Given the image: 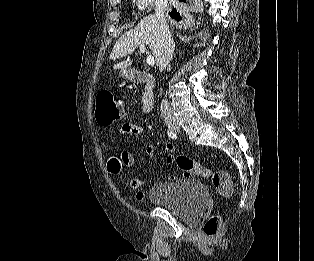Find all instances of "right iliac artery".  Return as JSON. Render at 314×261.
I'll return each instance as SVG.
<instances>
[{
	"instance_id": "right-iliac-artery-1",
	"label": "right iliac artery",
	"mask_w": 314,
	"mask_h": 261,
	"mask_svg": "<svg viewBox=\"0 0 314 261\" xmlns=\"http://www.w3.org/2000/svg\"><path fill=\"white\" fill-rule=\"evenodd\" d=\"M167 133H168V136H169L170 138H172V139H177V135H176V133H174L173 131L168 130Z\"/></svg>"
}]
</instances>
